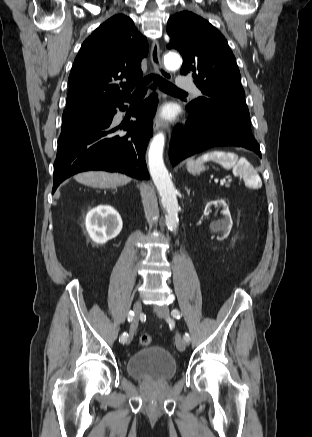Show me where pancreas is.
<instances>
[{
	"label": "pancreas",
	"instance_id": "obj_1",
	"mask_svg": "<svg viewBox=\"0 0 312 437\" xmlns=\"http://www.w3.org/2000/svg\"><path fill=\"white\" fill-rule=\"evenodd\" d=\"M226 187H229V184H226Z\"/></svg>",
	"mask_w": 312,
	"mask_h": 437
}]
</instances>
